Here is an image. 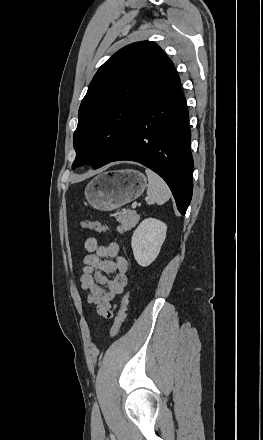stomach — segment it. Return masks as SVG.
I'll return each instance as SVG.
<instances>
[{
  "instance_id": "1",
  "label": "stomach",
  "mask_w": 263,
  "mask_h": 440,
  "mask_svg": "<svg viewBox=\"0 0 263 440\" xmlns=\"http://www.w3.org/2000/svg\"><path fill=\"white\" fill-rule=\"evenodd\" d=\"M146 186L147 179L139 171H109L90 181L85 198L93 208L111 211L141 196Z\"/></svg>"
}]
</instances>
